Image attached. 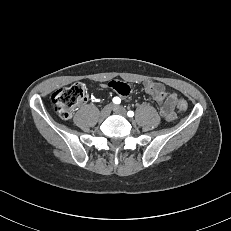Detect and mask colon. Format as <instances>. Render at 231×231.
I'll return each instance as SVG.
<instances>
[{
  "mask_svg": "<svg viewBox=\"0 0 231 231\" xmlns=\"http://www.w3.org/2000/svg\"><path fill=\"white\" fill-rule=\"evenodd\" d=\"M86 97V86L82 82H76L56 90L51 96V101L59 116L67 120L72 117L75 108L84 102ZM177 108L180 111H186L188 108L187 101L183 98L178 99Z\"/></svg>",
  "mask_w": 231,
  "mask_h": 231,
  "instance_id": "5ec220e1",
  "label": "colon"
}]
</instances>
